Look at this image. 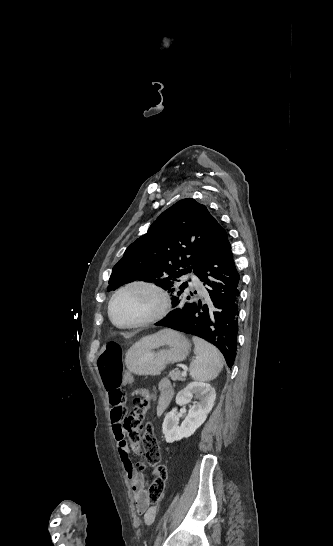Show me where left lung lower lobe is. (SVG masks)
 Segmentation results:
<instances>
[{
  "label": "left lung lower lobe",
  "mask_w": 333,
  "mask_h": 546,
  "mask_svg": "<svg viewBox=\"0 0 333 546\" xmlns=\"http://www.w3.org/2000/svg\"><path fill=\"white\" fill-rule=\"evenodd\" d=\"M193 271L208 292L206 302H190L193 293L183 291L172 299L174 310L157 325L211 342L231 368L237 350L240 276L227 232L219 223L208 251Z\"/></svg>",
  "instance_id": "obj_1"
}]
</instances>
